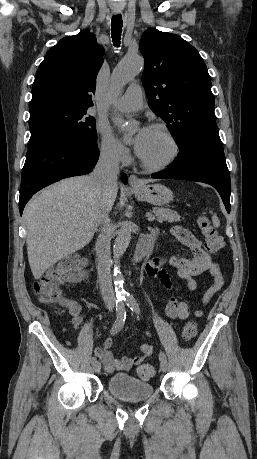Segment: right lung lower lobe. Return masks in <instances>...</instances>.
<instances>
[{"mask_svg":"<svg viewBox=\"0 0 257 459\" xmlns=\"http://www.w3.org/2000/svg\"><path fill=\"white\" fill-rule=\"evenodd\" d=\"M98 158L96 143L49 134L31 136L21 176L20 214L37 191L60 179L91 172ZM122 179L126 184L125 174Z\"/></svg>","mask_w":257,"mask_h":459,"instance_id":"obj_1","label":"right lung lower lobe"}]
</instances>
